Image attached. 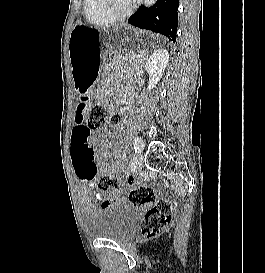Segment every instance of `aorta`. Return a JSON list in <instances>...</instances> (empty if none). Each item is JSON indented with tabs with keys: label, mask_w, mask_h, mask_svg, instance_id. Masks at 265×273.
I'll return each mask as SVG.
<instances>
[{
	"label": "aorta",
	"mask_w": 265,
	"mask_h": 273,
	"mask_svg": "<svg viewBox=\"0 0 265 273\" xmlns=\"http://www.w3.org/2000/svg\"><path fill=\"white\" fill-rule=\"evenodd\" d=\"M157 0H144V6L151 7L156 3Z\"/></svg>",
	"instance_id": "1"
}]
</instances>
